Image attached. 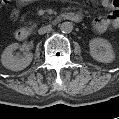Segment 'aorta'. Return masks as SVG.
<instances>
[{
    "label": "aorta",
    "instance_id": "obj_1",
    "mask_svg": "<svg viewBox=\"0 0 119 119\" xmlns=\"http://www.w3.org/2000/svg\"><path fill=\"white\" fill-rule=\"evenodd\" d=\"M60 30L63 33H70L73 30V25L71 22H63L60 25Z\"/></svg>",
    "mask_w": 119,
    "mask_h": 119
}]
</instances>
